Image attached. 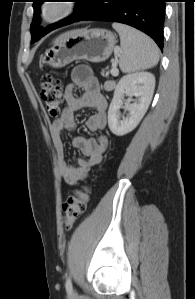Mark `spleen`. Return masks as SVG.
<instances>
[{"instance_id": "obj_1", "label": "spleen", "mask_w": 195, "mask_h": 299, "mask_svg": "<svg viewBox=\"0 0 195 299\" xmlns=\"http://www.w3.org/2000/svg\"><path fill=\"white\" fill-rule=\"evenodd\" d=\"M112 27L120 36V62L123 73L145 70L154 67L159 61V48L144 33L121 23H113Z\"/></svg>"}]
</instances>
